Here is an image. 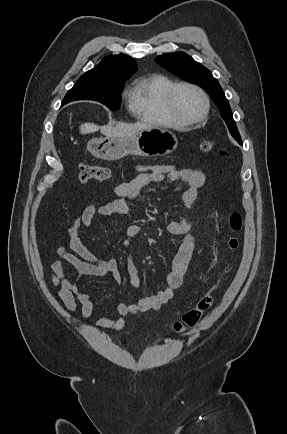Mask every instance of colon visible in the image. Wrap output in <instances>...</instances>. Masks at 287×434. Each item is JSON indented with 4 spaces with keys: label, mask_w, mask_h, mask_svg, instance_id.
I'll list each match as a JSON object with an SVG mask.
<instances>
[{
    "label": "colon",
    "mask_w": 287,
    "mask_h": 434,
    "mask_svg": "<svg viewBox=\"0 0 287 434\" xmlns=\"http://www.w3.org/2000/svg\"><path fill=\"white\" fill-rule=\"evenodd\" d=\"M213 149L214 144L211 141H202L199 145L201 153H210ZM112 174V169L104 165L81 164L79 167V179L83 183L89 180L106 182L112 178ZM229 228L231 236L228 239V246L230 250L237 251L240 247L239 234L243 229V216L239 211H233L229 215ZM231 270V267L226 268L225 275H229ZM213 302L214 298L212 294L202 297L194 309L188 311L180 321L174 324L175 332L184 334L195 327L203 315L212 307Z\"/></svg>",
    "instance_id": "1"
}]
</instances>
